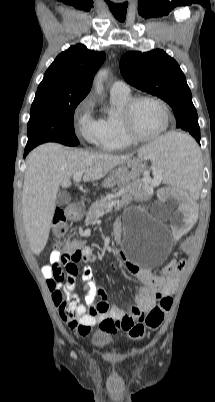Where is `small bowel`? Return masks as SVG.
<instances>
[{
	"mask_svg": "<svg viewBox=\"0 0 215 402\" xmlns=\"http://www.w3.org/2000/svg\"><path fill=\"white\" fill-rule=\"evenodd\" d=\"M80 244L81 258L77 262H83L85 265L95 262L96 255L92 249L83 243ZM72 251L74 254L78 250ZM71 257L54 251L51 254V262L60 259L69 261ZM128 268L143 286L135 296L134 303L125 310L117 307L110 308L105 290L97 286L89 268H86L83 273L86 282V294L83 302L74 292L78 274L77 266L75 270L67 271L65 275L64 271H56L50 264L42 268V274L47 280H53L57 288L62 290L64 300L59 308L61 319L67 323L70 329L81 336H86L97 324L102 330L109 333L117 330L129 331L136 321H141L145 314L155 306L158 299L171 297L174 293L177 282L176 274L165 272L164 275H155L132 263L128 265ZM111 269L116 270L115 263L111 264ZM97 297H100L99 302H96Z\"/></svg>",
	"mask_w": 215,
	"mask_h": 402,
	"instance_id": "1",
	"label": "small bowel"
}]
</instances>
